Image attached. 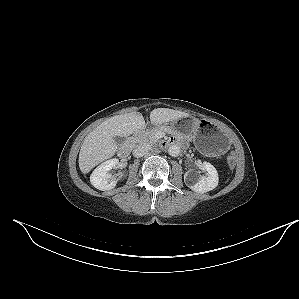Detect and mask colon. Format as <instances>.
<instances>
[{"mask_svg": "<svg viewBox=\"0 0 299 299\" xmlns=\"http://www.w3.org/2000/svg\"><path fill=\"white\" fill-rule=\"evenodd\" d=\"M234 165V162L232 159L229 160V166L232 167Z\"/></svg>", "mask_w": 299, "mask_h": 299, "instance_id": "1", "label": "colon"}]
</instances>
